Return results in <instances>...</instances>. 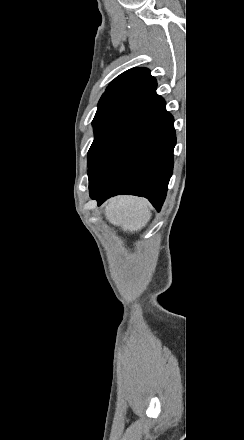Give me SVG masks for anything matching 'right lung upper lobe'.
I'll list each match as a JSON object with an SVG mask.
<instances>
[{"instance_id":"right-lung-upper-lobe-1","label":"right lung upper lobe","mask_w":244,"mask_h":440,"mask_svg":"<svg viewBox=\"0 0 244 440\" xmlns=\"http://www.w3.org/2000/svg\"><path fill=\"white\" fill-rule=\"evenodd\" d=\"M156 80L146 68H132L115 78L100 101L122 97L143 99L156 90Z\"/></svg>"}]
</instances>
